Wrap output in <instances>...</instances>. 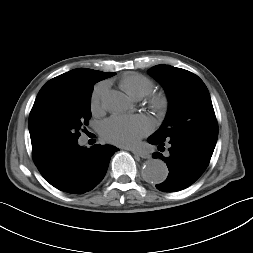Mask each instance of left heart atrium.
I'll return each mask as SVG.
<instances>
[{"label":"left heart atrium","instance_id":"obj_1","mask_svg":"<svg viewBox=\"0 0 253 253\" xmlns=\"http://www.w3.org/2000/svg\"><path fill=\"white\" fill-rule=\"evenodd\" d=\"M152 129L153 124L146 116H113L102 123L101 134L110 143L133 146Z\"/></svg>","mask_w":253,"mask_h":253}]
</instances>
